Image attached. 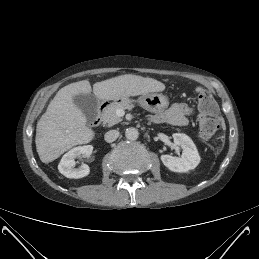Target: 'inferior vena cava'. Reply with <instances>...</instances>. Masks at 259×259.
Wrapping results in <instances>:
<instances>
[{"label": "inferior vena cava", "instance_id": "obj_1", "mask_svg": "<svg viewBox=\"0 0 259 259\" xmlns=\"http://www.w3.org/2000/svg\"><path fill=\"white\" fill-rule=\"evenodd\" d=\"M118 137H119V131L117 130H109L104 135V139L108 143L115 141Z\"/></svg>", "mask_w": 259, "mask_h": 259}]
</instances>
